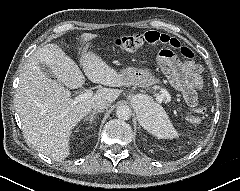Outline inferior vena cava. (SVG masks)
<instances>
[{
	"label": "inferior vena cava",
	"instance_id": "inferior-vena-cava-1",
	"mask_svg": "<svg viewBox=\"0 0 240 191\" xmlns=\"http://www.w3.org/2000/svg\"><path fill=\"white\" fill-rule=\"evenodd\" d=\"M110 104L106 100H98L92 104V108L94 111H103Z\"/></svg>",
	"mask_w": 240,
	"mask_h": 191
}]
</instances>
